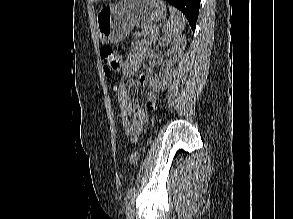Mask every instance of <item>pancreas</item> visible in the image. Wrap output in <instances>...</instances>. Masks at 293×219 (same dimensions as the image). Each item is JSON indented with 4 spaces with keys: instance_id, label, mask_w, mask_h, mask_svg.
<instances>
[{
    "instance_id": "1",
    "label": "pancreas",
    "mask_w": 293,
    "mask_h": 219,
    "mask_svg": "<svg viewBox=\"0 0 293 219\" xmlns=\"http://www.w3.org/2000/svg\"><path fill=\"white\" fill-rule=\"evenodd\" d=\"M159 35V28L155 25H149L142 28L141 32H136L135 36H148L150 41L154 43Z\"/></svg>"
}]
</instances>
